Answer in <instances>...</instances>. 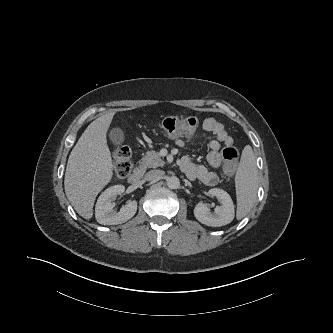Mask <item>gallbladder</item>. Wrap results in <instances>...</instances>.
Returning <instances> with one entry per match:
<instances>
[{
    "label": "gallbladder",
    "mask_w": 333,
    "mask_h": 333,
    "mask_svg": "<svg viewBox=\"0 0 333 333\" xmlns=\"http://www.w3.org/2000/svg\"><path fill=\"white\" fill-rule=\"evenodd\" d=\"M109 139L115 145H121L124 142L125 136L121 128L114 127L109 132Z\"/></svg>",
    "instance_id": "gallbladder-1"
}]
</instances>
